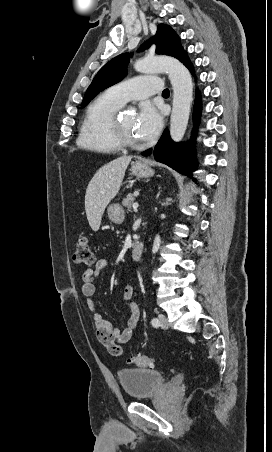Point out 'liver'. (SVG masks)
<instances>
[{
  "label": "liver",
  "mask_w": 272,
  "mask_h": 452,
  "mask_svg": "<svg viewBox=\"0 0 272 452\" xmlns=\"http://www.w3.org/2000/svg\"><path fill=\"white\" fill-rule=\"evenodd\" d=\"M130 161V156H121L107 163L89 182L85 195V211L93 231L99 230L105 208L118 194Z\"/></svg>",
  "instance_id": "liver-1"
}]
</instances>
